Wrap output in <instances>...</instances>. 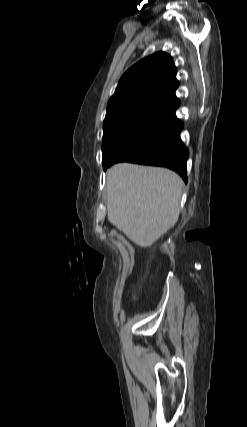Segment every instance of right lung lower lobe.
Instances as JSON below:
<instances>
[{
    "label": "right lung lower lobe",
    "instance_id": "1",
    "mask_svg": "<svg viewBox=\"0 0 247 427\" xmlns=\"http://www.w3.org/2000/svg\"><path fill=\"white\" fill-rule=\"evenodd\" d=\"M179 105L175 98L151 112L122 141L104 169L121 161L164 166L187 181L189 152L180 139L183 123L175 115Z\"/></svg>",
    "mask_w": 247,
    "mask_h": 427
}]
</instances>
